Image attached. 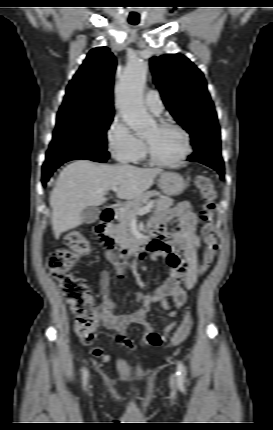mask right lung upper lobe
<instances>
[{
	"instance_id": "obj_1",
	"label": "right lung upper lobe",
	"mask_w": 273,
	"mask_h": 430,
	"mask_svg": "<svg viewBox=\"0 0 273 430\" xmlns=\"http://www.w3.org/2000/svg\"><path fill=\"white\" fill-rule=\"evenodd\" d=\"M115 68L116 60L107 47L92 49L69 82L60 109L113 112Z\"/></svg>"
}]
</instances>
